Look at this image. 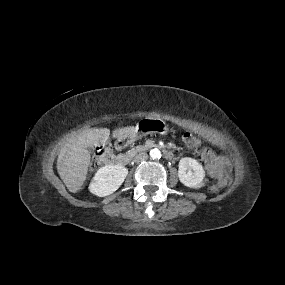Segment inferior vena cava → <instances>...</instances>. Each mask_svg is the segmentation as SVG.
I'll list each match as a JSON object with an SVG mask.
<instances>
[{"mask_svg": "<svg viewBox=\"0 0 285 285\" xmlns=\"http://www.w3.org/2000/svg\"><path fill=\"white\" fill-rule=\"evenodd\" d=\"M147 159H148V154L145 152H141L135 156L134 161L137 163H140V162H143Z\"/></svg>", "mask_w": 285, "mask_h": 285, "instance_id": "inferior-vena-cava-1", "label": "inferior vena cava"}]
</instances>
